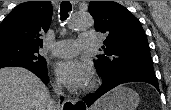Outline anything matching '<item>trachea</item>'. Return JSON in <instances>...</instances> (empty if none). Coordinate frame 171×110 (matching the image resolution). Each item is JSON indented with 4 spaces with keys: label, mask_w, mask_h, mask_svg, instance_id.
<instances>
[{
    "label": "trachea",
    "mask_w": 171,
    "mask_h": 110,
    "mask_svg": "<svg viewBox=\"0 0 171 110\" xmlns=\"http://www.w3.org/2000/svg\"><path fill=\"white\" fill-rule=\"evenodd\" d=\"M72 10L71 3L69 1H62L60 5V19L65 21L69 17V12Z\"/></svg>",
    "instance_id": "1"
}]
</instances>
